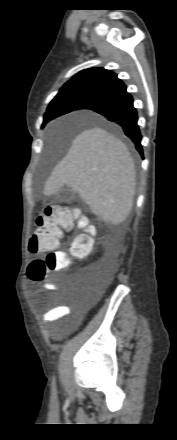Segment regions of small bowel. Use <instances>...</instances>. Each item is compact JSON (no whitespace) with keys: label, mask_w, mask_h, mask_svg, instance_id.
<instances>
[{"label":"small bowel","mask_w":177,"mask_h":440,"mask_svg":"<svg viewBox=\"0 0 177 440\" xmlns=\"http://www.w3.org/2000/svg\"><path fill=\"white\" fill-rule=\"evenodd\" d=\"M29 278L32 280L31 275L29 274ZM64 317H73V320L70 322L68 327L70 329L74 328L76 323L81 319V317H74L73 310L69 306L61 305L50 309L43 316L44 322H55Z\"/></svg>","instance_id":"obj_1"}]
</instances>
